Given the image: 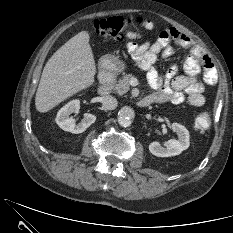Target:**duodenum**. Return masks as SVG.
<instances>
[{"label":"duodenum","mask_w":233,"mask_h":233,"mask_svg":"<svg viewBox=\"0 0 233 233\" xmlns=\"http://www.w3.org/2000/svg\"><path fill=\"white\" fill-rule=\"evenodd\" d=\"M115 76V68L110 61H105L101 64L99 71V81L100 84L98 86L99 95H107L110 92L111 84ZM151 104V101L148 97H144L138 100L137 105L139 107H147Z\"/></svg>","instance_id":"1"}]
</instances>
